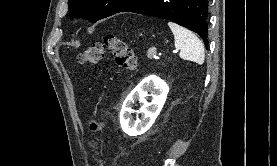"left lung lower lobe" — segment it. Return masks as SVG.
I'll list each match as a JSON object with an SVG mask.
<instances>
[{
	"instance_id": "obj_1",
	"label": "left lung lower lobe",
	"mask_w": 277,
	"mask_h": 166,
	"mask_svg": "<svg viewBox=\"0 0 277 166\" xmlns=\"http://www.w3.org/2000/svg\"><path fill=\"white\" fill-rule=\"evenodd\" d=\"M120 12H133L173 21L196 32L208 47L207 0H136Z\"/></svg>"
}]
</instances>
